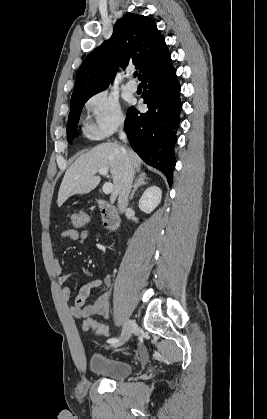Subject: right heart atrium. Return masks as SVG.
Segmentation results:
<instances>
[{
	"instance_id": "d8ad5b80",
	"label": "right heart atrium",
	"mask_w": 267,
	"mask_h": 419,
	"mask_svg": "<svg viewBox=\"0 0 267 419\" xmlns=\"http://www.w3.org/2000/svg\"><path fill=\"white\" fill-rule=\"evenodd\" d=\"M86 108L92 116L86 131L93 139H104L124 125L125 116L120 102L107 91L91 96L86 102Z\"/></svg>"
}]
</instances>
